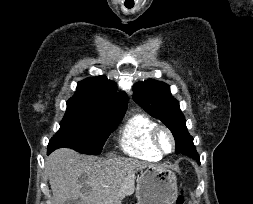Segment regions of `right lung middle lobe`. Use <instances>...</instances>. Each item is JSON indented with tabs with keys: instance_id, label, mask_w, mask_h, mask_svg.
<instances>
[{
	"instance_id": "right-lung-middle-lobe-1",
	"label": "right lung middle lobe",
	"mask_w": 253,
	"mask_h": 204,
	"mask_svg": "<svg viewBox=\"0 0 253 204\" xmlns=\"http://www.w3.org/2000/svg\"><path fill=\"white\" fill-rule=\"evenodd\" d=\"M122 117L71 98L67 101L59 131L49 141L48 150L68 147L80 153L98 155Z\"/></svg>"
}]
</instances>
